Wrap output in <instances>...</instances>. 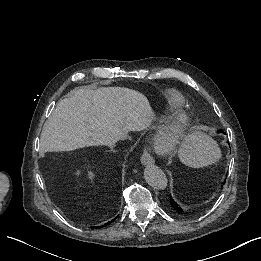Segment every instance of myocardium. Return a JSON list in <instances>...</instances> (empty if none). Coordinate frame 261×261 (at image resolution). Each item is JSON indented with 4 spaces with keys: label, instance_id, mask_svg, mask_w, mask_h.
<instances>
[{
    "label": "myocardium",
    "instance_id": "myocardium-1",
    "mask_svg": "<svg viewBox=\"0 0 261 261\" xmlns=\"http://www.w3.org/2000/svg\"><path fill=\"white\" fill-rule=\"evenodd\" d=\"M191 115L186 110H174L150 117L143 129V140L149 150L158 157H176L184 148L191 125ZM172 124L175 128L176 138L173 144L168 147H154L151 138L160 124Z\"/></svg>",
    "mask_w": 261,
    "mask_h": 261
}]
</instances>
